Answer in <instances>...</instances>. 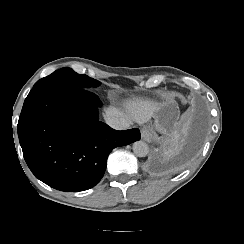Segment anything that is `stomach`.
<instances>
[{"instance_id":"stomach-1","label":"stomach","mask_w":244,"mask_h":244,"mask_svg":"<svg viewBox=\"0 0 244 244\" xmlns=\"http://www.w3.org/2000/svg\"><path fill=\"white\" fill-rule=\"evenodd\" d=\"M180 116L179 108L177 103L173 99H165L163 104L157 107L155 112V125L156 129L161 132V138L164 139V142L169 139L174 140L178 136H175L174 133L177 129V122ZM152 138L153 135L157 137L156 132L153 128H150Z\"/></svg>"}]
</instances>
